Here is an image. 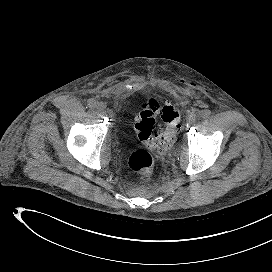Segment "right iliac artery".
<instances>
[{
	"label": "right iliac artery",
	"instance_id": "1",
	"mask_svg": "<svg viewBox=\"0 0 272 272\" xmlns=\"http://www.w3.org/2000/svg\"><path fill=\"white\" fill-rule=\"evenodd\" d=\"M96 104H97V102H96L95 99H89V100H88V106H89L90 108H95V107H96Z\"/></svg>",
	"mask_w": 272,
	"mask_h": 272
}]
</instances>
